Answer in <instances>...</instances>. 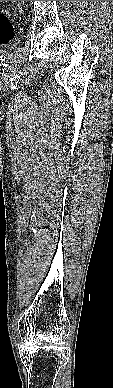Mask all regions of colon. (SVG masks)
Masks as SVG:
<instances>
[{
	"mask_svg": "<svg viewBox=\"0 0 113 388\" xmlns=\"http://www.w3.org/2000/svg\"><path fill=\"white\" fill-rule=\"evenodd\" d=\"M14 34L10 15L0 11V46L8 44L14 38Z\"/></svg>",
	"mask_w": 113,
	"mask_h": 388,
	"instance_id": "colon-1",
	"label": "colon"
}]
</instances>
